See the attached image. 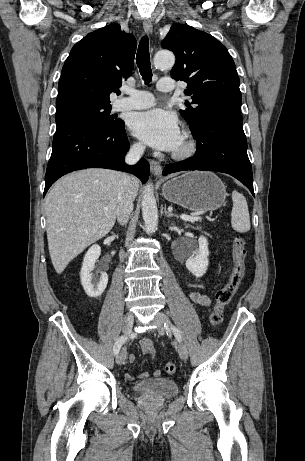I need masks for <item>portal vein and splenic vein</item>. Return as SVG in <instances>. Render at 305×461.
Segmentation results:
<instances>
[{
	"instance_id": "18ae733b",
	"label": "portal vein and splenic vein",
	"mask_w": 305,
	"mask_h": 461,
	"mask_svg": "<svg viewBox=\"0 0 305 461\" xmlns=\"http://www.w3.org/2000/svg\"><path fill=\"white\" fill-rule=\"evenodd\" d=\"M199 214H201V213H199ZM199 214L193 215V216H189V215L183 214V215L180 216V218H181L182 220H184V221H197V220L200 219Z\"/></svg>"
}]
</instances>
